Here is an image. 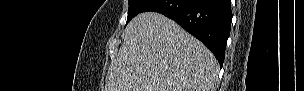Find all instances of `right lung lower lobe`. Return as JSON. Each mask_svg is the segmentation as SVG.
<instances>
[{"label":"right lung lower lobe","mask_w":304,"mask_h":91,"mask_svg":"<svg viewBox=\"0 0 304 91\" xmlns=\"http://www.w3.org/2000/svg\"><path fill=\"white\" fill-rule=\"evenodd\" d=\"M147 11L173 19L207 46L222 67L231 29V0H151L141 13Z\"/></svg>","instance_id":"right-lung-lower-lobe-1"}]
</instances>
